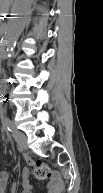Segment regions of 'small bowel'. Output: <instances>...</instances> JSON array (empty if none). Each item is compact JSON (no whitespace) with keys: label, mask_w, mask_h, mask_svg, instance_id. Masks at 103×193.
Masks as SVG:
<instances>
[{"label":"small bowel","mask_w":103,"mask_h":193,"mask_svg":"<svg viewBox=\"0 0 103 193\" xmlns=\"http://www.w3.org/2000/svg\"><path fill=\"white\" fill-rule=\"evenodd\" d=\"M10 176L7 172H2L0 174V185L3 192L9 186ZM22 193H33V186L30 182L29 171L28 169H24L22 173ZM63 188V182L58 174H54L52 178L47 182L43 193H61ZM18 186L16 183H12L10 185V192L17 193Z\"/></svg>","instance_id":"small-bowel-1"}]
</instances>
